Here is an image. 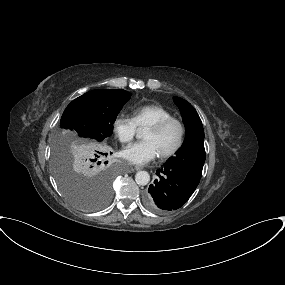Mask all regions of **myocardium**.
<instances>
[{
	"instance_id": "obj_1",
	"label": "myocardium",
	"mask_w": 285,
	"mask_h": 285,
	"mask_svg": "<svg viewBox=\"0 0 285 285\" xmlns=\"http://www.w3.org/2000/svg\"><path fill=\"white\" fill-rule=\"evenodd\" d=\"M172 123L177 124L179 127V139H178L176 145L172 149H170L169 151H167L163 154H159V157L161 159L171 158L180 151V149L182 148V146L184 144V140H185V126L180 119L175 118V117H169V118L163 119V120H161V121H159V122H157V123H155V124H153L147 128L148 130H151L154 132H160Z\"/></svg>"
}]
</instances>
